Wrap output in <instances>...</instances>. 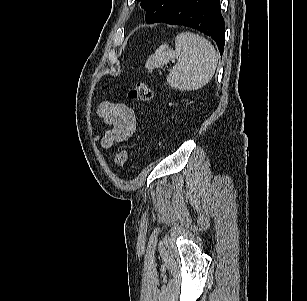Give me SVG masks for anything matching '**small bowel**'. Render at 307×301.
Returning a JSON list of instances; mask_svg holds the SVG:
<instances>
[{"label":"small bowel","instance_id":"c3829d8e","mask_svg":"<svg viewBox=\"0 0 307 301\" xmlns=\"http://www.w3.org/2000/svg\"><path fill=\"white\" fill-rule=\"evenodd\" d=\"M103 122L111 128L99 138L103 149H110L114 143L125 142L136 129L134 110L121 102L103 101L97 108Z\"/></svg>","mask_w":307,"mask_h":301}]
</instances>
